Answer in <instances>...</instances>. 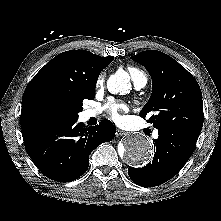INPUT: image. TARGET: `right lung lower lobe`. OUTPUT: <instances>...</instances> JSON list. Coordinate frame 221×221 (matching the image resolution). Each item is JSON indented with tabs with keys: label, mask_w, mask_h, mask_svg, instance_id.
Here are the masks:
<instances>
[{
	"label": "right lung lower lobe",
	"mask_w": 221,
	"mask_h": 221,
	"mask_svg": "<svg viewBox=\"0 0 221 221\" xmlns=\"http://www.w3.org/2000/svg\"><path fill=\"white\" fill-rule=\"evenodd\" d=\"M77 119L40 120L22 127L26 151L46 177L70 182L86 172L90 153L115 136L109 120L86 128Z\"/></svg>",
	"instance_id": "1"
}]
</instances>
